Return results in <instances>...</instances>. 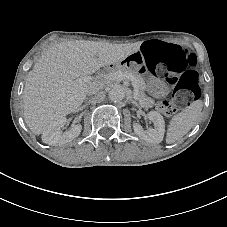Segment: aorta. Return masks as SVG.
<instances>
[{"label":"aorta","mask_w":227,"mask_h":227,"mask_svg":"<svg viewBox=\"0 0 227 227\" xmlns=\"http://www.w3.org/2000/svg\"><path fill=\"white\" fill-rule=\"evenodd\" d=\"M108 97L113 102H119L125 97V89L122 86L113 87L110 90Z\"/></svg>","instance_id":"aorta-1"}]
</instances>
